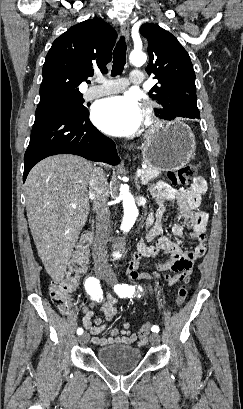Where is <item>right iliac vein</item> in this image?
<instances>
[{
	"mask_svg": "<svg viewBox=\"0 0 243 409\" xmlns=\"http://www.w3.org/2000/svg\"><path fill=\"white\" fill-rule=\"evenodd\" d=\"M97 275H98V277L100 279H105L107 277V274L102 272V271L98 272ZM88 340H89V334L88 333H84L79 337V342L81 344H86L88 342Z\"/></svg>",
	"mask_w": 243,
	"mask_h": 409,
	"instance_id": "right-iliac-vein-1",
	"label": "right iliac vein"
}]
</instances>
